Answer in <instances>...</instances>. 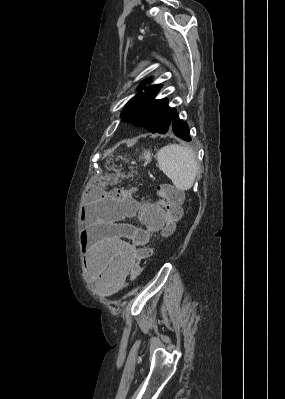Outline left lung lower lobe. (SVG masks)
<instances>
[{
    "label": "left lung lower lobe",
    "instance_id": "0a47b994",
    "mask_svg": "<svg viewBox=\"0 0 285 399\" xmlns=\"http://www.w3.org/2000/svg\"><path fill=\"white\" fill-rule=\"evenodd\" d=\"M167 132L174 133L176 136H178L179 138H181L183 140H186V141L191 140L187 123L182 121L178 117L177 113H175Z\"/></svg>",
    "mask_w": 285,
    "mask_h": 399
}]
</instances>
